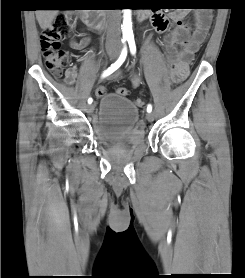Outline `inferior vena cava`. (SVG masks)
<instances>
[{"mask_svg": "<svg viewBox=\"0 0 245 278\" xmlns=\"http://www.w3.org/2000/svg\"><path fill=\"white\" fill-rule=\"evenodd\" d=\"M107 44L120 42V13L112 10L108 13Z\"/></svg>", "mask_w": 245, "mask_h": 278, "instance_id": "1", "label": "inferior vena cava"}]
</instances>
